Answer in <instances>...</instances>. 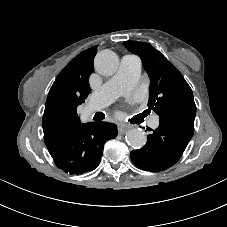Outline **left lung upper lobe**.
I'll return each instance as SVG.
<instances>
[{
  "label": "left lung upper lobe",
  "mask_w": 227,
  "mask_h": 227,
  "mask_svg": "<svg viewBox=\"0 0 227 227\" xmlns=\"http://www.w3.org/2000/svg\"><path fill=\"white\" fill-rule=\"evenodd\" d=\"M124 45L142 59L151 80L148 106L159 115V121L194 131L196 105L181 73L148 43L125 41Z\"/></svg>",
  "instance_id": "5c2ea615"
}]
</instances>
